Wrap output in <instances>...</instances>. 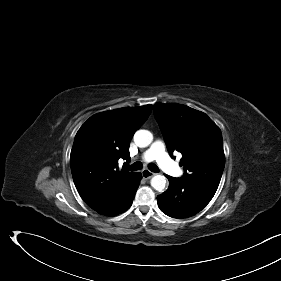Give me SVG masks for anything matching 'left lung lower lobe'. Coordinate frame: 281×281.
Listing matches in <instances>:
<instances>
[{
    "label": "left lung lower lobe",
    "instance_id": "0a47b994",
    "mask_svg": "<svg viewBox=\"0 0 281 281\" xmlns=\"http://www.w3.org/2000/svg\"><path fill=\"white\" fill-rule=\"evenodd\" d=\"M169 188L157 196L160 210L173 218H188L200 212L213 198L216 190L190 179L166 175Z\"/></svg>",
    "mask_w": 281,
    "mask_h": 281
}]
</instances>
